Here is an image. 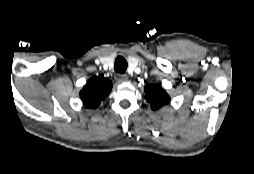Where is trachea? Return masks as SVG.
Masks as SVG:
<instances>
[{"instance_id": "1", "label": "trachea", "mask_w": 254, "mask_h": 174, "mask_svg": "<svg viewBox=\"0 0 254 174\" xmlns=\"http://www.w3.org/2000/svg\"><path fill=\"white\" fill-rule=\"evenodd\" d=\"M127 61L124 57L122 56H118L115 60V66H114V70L117 73H125L127 70Z\"/></svg>"}]
</instances>
